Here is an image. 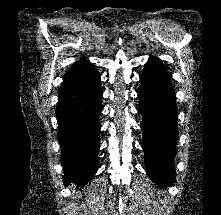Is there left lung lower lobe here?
I'll return each mask as SVG.
<instances>
[{"mask_svg":"<svg viewBox=\"0 0 221 215\" xmlns=\"http://www.w3.org/2000/svg\"><path fill=\"white\" fill-rule=\"evenodd\" d=\"M170 79L162 61L150 57L140 75L138 92L146 168L153 181L162 187L173 182L172 161L178 138L176 96Z\"/></svg>","mask_w":221,"mask_h":215,"instance_id":"0a47b994","label":"left lung lower lobe"}]
</instances>
